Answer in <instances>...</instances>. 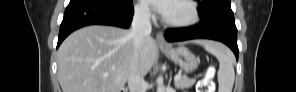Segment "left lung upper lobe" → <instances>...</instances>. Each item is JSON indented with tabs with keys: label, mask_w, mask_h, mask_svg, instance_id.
I'll return each instance as SVG.
<instances>
[{
	"label": "left lung upper lobe",
	"mask_w": 296,
	"mask_h": 92,
	"mask_svg": "<svg viewBox=\"0 0 296 92\" xmlns=\"http://www.w3.org/2000/svg\"><path fill=\"white\" fill-rule=\"evenodd\" d=\"M198 3L202 26H210L222 16H234L231 0H198Z\"/></svg>",
	"instance_id": "left-lung-upper-lobe-1"
}]
</instances>
